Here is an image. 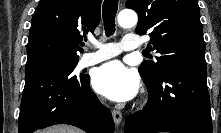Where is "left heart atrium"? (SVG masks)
Masks as SVG:
<instances>
[{
  "label": "left heart atrium",
  "mask_w": 221,
  "mask_h": 133,
  "mask_svg": "<svg viewBox=\"0 0 221 133\" xmlns=\"http://www.w3.org/2000/svg\"><path fill=\"white\" fill-rule=\"evenodd\" d=\"M94 89L114 101H127L138 92L139 82L134 71L114 60L98 67L92 78Z\"/></svg>",
  "instance_id": "obj_1"
}]
</instances>
